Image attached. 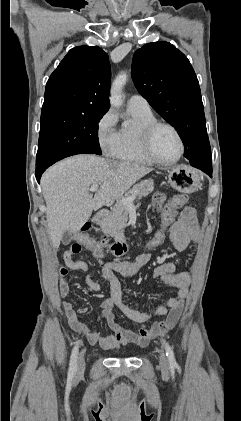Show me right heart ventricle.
<instances>
[{"label":"right heart ventricle","mask_w":241,"mask_h":421,"mask_svg":"<svg viewBox=\"0 0 241 421\" xmlns=\"http://www.w3.org/2000/svg\"><path fill=\"white\" fill-rule=\"evenodd\" d=\"M129 113L133 122L131 125L123 126L117 131V139L112 156L124 162L153 165L154 162L143 150L141 135L144 127L156 121V118L151 110L129 109Z\"/></svg>","instance_id":"1"}]
</instances>
